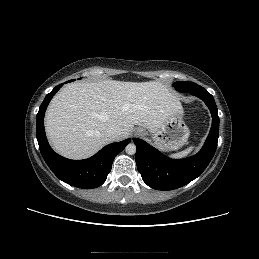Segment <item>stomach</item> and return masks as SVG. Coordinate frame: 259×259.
I'll list each match as a JSON object with an SVG mask.
<instances>
[{
	"mask_svg": "<svg viewBox=\"0 0 259 259\" xmlns=\"http://www.w3.org/2000/svg\"><path fill=\"white\" fill-rule=\"evenodd\" d=\"M183 113V108L179 106L156 132H149L154 145L161 151H175L187 143L190 130L183 121ZM145 134L148 132L146 131Z\"/></svg>",
	"mask_w": 259,
	"mask_h": 259,
	"instance_id": "1",
	"label": "stomach"
}]
</instances>
